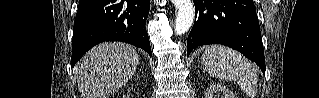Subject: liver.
I'll list each match as a JSON object with an SVG mask.
<instances>
[{
    "instance_id": "obj_1",
    "label": "liver",
    "mask_w": 319,
    "mask_h": 98,
    "mask_svg": "<svg viewBox=\"0 0 319 98\" xmlns=\"http://www.w3.org/2000/svg\"><path fill=\"white\" fill-rule=\"evenodd\" d=\"M138 64L133 46L121 42L95 46L76 64L82 98H109L132 78Z\"/></svg>"
}]
</instances>
